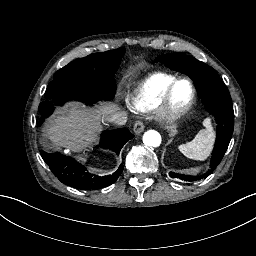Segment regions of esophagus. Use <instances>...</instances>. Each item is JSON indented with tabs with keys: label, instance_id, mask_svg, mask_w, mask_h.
<instances>
[{
	"label": "esophagus",
	"instance_id": "obj_1",
	"mask_svg": "<svg viewBox=\"0 0 256 256\" xmlns=\"http://www.w3.org/2000/svg\"><path fill=\"white\" fill-rule=\"evenodd\" d=\"M133 130L136 135H140L144 130V124L141 121H136Z\"/></svg>",
	"mask_w": 256,
	"mask_h": 256
}]
</instances>
